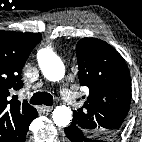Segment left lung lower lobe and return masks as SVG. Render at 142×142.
<instances>
[{"label": "left lung lower lobe", "mask_w": 142, "mask_h": 142, "mask_svg": "<svg viewBox=\"0 0 142 142\" xmlns=\"http://www.w3.org/2000/svg\"><path fill=\"white\" fill-rule=\"evenodd\" d=\"M66 142H108L91 137L86 131L77 127L75 124L64 128Z\"/></svg>", "instance_id": "obj_1"}]
</instances>
